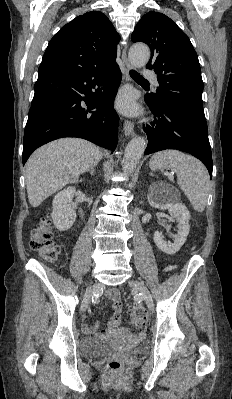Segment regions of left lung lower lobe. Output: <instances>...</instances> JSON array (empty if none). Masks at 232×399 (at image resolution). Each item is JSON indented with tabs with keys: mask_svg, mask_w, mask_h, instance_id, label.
I'll use <instances>...</instances> for the list:
<instances>
[{
	"mask_svg": "<svg viewBox=\"0 0 232 399\" xmlns=\"http://www.w3.org/2000/svg\"><path fill=\"white\" fill-rule=\"evenodd\" d=\"M145 102L154 115L151 125L143 126L148 136L145 155L165 149L190 153L200 159L212 178L213 161L207 125L171 102H162L145 95Z\"/></svg>",
	"mask_w": 232,
	"mask_h": 399,
	"instance_id": "0a47b994",
	"label": "left lung lower lobe"
}]
</instances>
